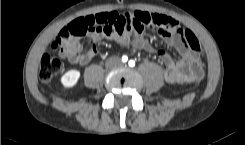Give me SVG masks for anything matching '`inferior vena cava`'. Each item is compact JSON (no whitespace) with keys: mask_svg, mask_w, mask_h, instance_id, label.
<instances>
[{"mask_svg":"<svg viewBox=\"0 0 245 145\" xmlns=\"http://www.w3.org/2000/svg\"><path fill=\"white\" fill-rule=\"evenodd\" d=\"M112 61H118V59H116V58H111L110 60L107 61V64H109V63L112 62Z\"/></svg>","mask_w":245,"mask_h":145,"instance_id":"obj_1","label":"inferior vena cava"}]
</instances>
